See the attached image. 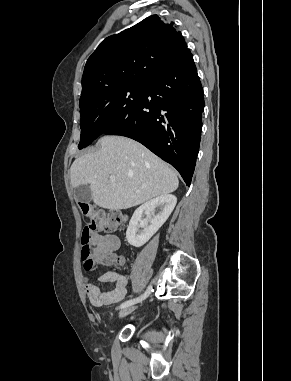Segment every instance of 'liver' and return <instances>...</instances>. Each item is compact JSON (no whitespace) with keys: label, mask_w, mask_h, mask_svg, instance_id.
<instances>
[{"label":"liver","mask_w":291,"mask_h":381,"mask_svg":"<svg viewBox=\"0 0 291 381\" xmlns=\"http://www.w3.org/2000/svg\"><path fill=\"white\" fill-rule=\"evenodd\" d=\"M98 143V151L78 157L70 168L72 187L90 185L96 205L127 209L178 188L175 171L142 144L121 136Z\"/></svg>","instance_id":"obj_1"}]
</instances>
